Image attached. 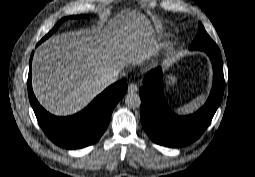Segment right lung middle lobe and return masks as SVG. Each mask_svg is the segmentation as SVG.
<instances>
[{"instance_id":"dd1d6c3e","label":"right lung middle lobe","mask_w":255,"mask_h":177,"mask_svg":"<svg viewBox=\"0 0 255 177\" xmlns=\"http://www.w3.org/2000/svg\"><path fill=\"white\" fill-rule=\"evenodd\" d=\"M75 17V16H74ZM78 17V16H77ZM82 17V16H81ZM65 20V18H63L62 20L59 21V23L42 39L45 40L46 38H48L55 30H57V28L59 27V25Z\"/></svg>"}]
</instances>
